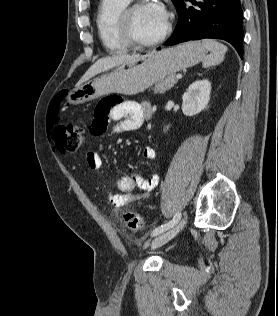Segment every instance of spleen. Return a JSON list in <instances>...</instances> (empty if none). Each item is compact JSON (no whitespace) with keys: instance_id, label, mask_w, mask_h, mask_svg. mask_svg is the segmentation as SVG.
Listing matches in <instances>:
<instances>
[{"instance_id":"obj_1","label":"spleen","mask_w":278,"mask_h":316,"mask_svg":"<svg viewBox=\"0 0 278 316\" xmlns=\"http://www.w3.org/2000/svg\"><path fill=\"white\" fill-rule=\"evenodd\" d=\"M202 45L210 51V54L203 59V67H210L221 63L224 60L227 47L212 39H203Z\"/></svg>"}]
</instances>
